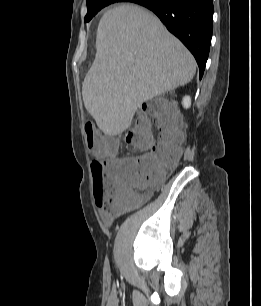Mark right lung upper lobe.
Masks as SVG:
<instances>
[{
	"mask_svg": "<svg viewBox=\"0 0 261 306\" xmlns=\"http://www.w3.org/2000/svg\"><path fill=\"white\" fill-rule=\"evenodd\" d=\"M87 1H89V0H87ZM115 1H117V2H132L133 0H115Z\"/></svg>",
	"mask_w": 261,
	"mask_h": 306,
	"instance_id": "1",
	"label": "right lung upper lobe"
}]
</instances>
